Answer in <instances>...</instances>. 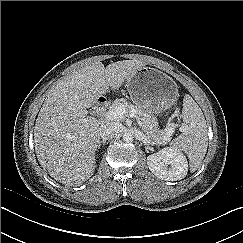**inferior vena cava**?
I'll return each mask as SVG.
<instances>
[{"mask_svg":"<svg viewBox=\"0 0 243 243\" xmlns=\"http://www.w3.org/2000/svg\"><path fill=\"white\" fill-rule=\"evenodd\" d=\"M122 125L119 122H108L99 128L100 137L103 140L113 138L121 131Z\"/></svg>","mask_w":243,"mask_h":243,"instance_id":"602c4592","label":"inferior vena cava"}]
</instances>
